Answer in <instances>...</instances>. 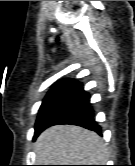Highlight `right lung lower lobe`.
<instances>
[{
    "mask_svg": "<svg viewBox=\"0 0 135 166\" xmlns=\"http://www.w3.org/2000/svg\"><path fill=\"white\" fill-rule=\"evenodd\" d=\"M69 91L72 93L73 98L67 110L56 120L39 131L34 138H36L44 129L58 124L78 125L101 134V127L94 120L93 109L89 103V94L82 89V84H72L69 87Z\"/></svg>",
    "mask_w": 135,
    "mask_h": 166,
    "instance_id": "1",
    "label": "right lung lower lobe"
}]
</instances>
